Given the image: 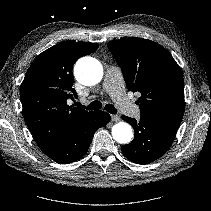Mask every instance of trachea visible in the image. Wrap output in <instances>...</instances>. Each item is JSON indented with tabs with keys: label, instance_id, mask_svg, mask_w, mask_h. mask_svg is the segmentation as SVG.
<instances>
[{
	"label": "trachea",
	"instance_id": "3493384b",
	"mask_svg": "<svg viewBox=\"0 0 211 211\" xmlns=\"http://www.w3.org/2000/svg\"><path fill=\"white\" fill-rule=\"evenodd\" d=\"M78 107H83L79 102L76 103ZM102 107V103L98 100L91 102L87 107L88 110H99ZM105 110L111 114H116L117 110L112 104H106Z\"/></svg>",
	"mask_w": 211,
	"mask_h": 211
}]
</instances>
